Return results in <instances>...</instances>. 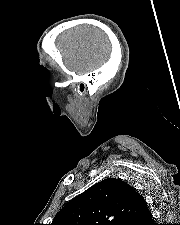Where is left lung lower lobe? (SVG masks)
<instances>
[{
	"mask_svg": "<svg viewBox=\"0 0 180 225\" xmlns=\"http://www.w3.org/2000/svg\"><path fill=\"white\" fill-rule=\"evenodd\" d=\"M126 225H155V223L148 207H146L142 212L128 221Z\"/></svg>",
	"mask_w": 180,
	"mask_h": 225,
	"instance_id": "0a47b994",
	"label": "left lung lower lobe"
}]
</instances>
